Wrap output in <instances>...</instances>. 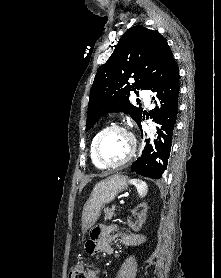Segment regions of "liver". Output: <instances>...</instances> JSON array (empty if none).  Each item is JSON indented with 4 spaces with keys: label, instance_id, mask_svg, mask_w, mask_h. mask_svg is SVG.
<instances>
[{
    "label": "liver",
    "instance_id": "obj_1",
    "mask_svg": "<svg viewBox=\"0 0 221 278\" xmlns=\"http://www.w3.org/2000/svg\"><path fill=\"white\" fill-rule=\"evenodd\" d=\"M91 181V178H89V177H85L83 180H82V182L80 183V186H79V192L81 193V191H82V189L86 186V184L88 183V182H90Z\"/></svg>",
    "mask_w": 221,
    "mask_h": 278
}]
</instances>
